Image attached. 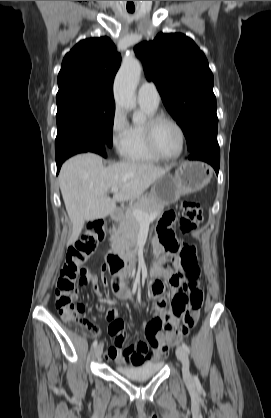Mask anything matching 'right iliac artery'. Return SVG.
Here are the masks:
<instances>
[{
  "label": "right iliac artery",
  "instance_id": "1",
  "mask_svg": "<svg viewBox=\"0 0 271 418\" xmlns=\"http://www.w3.org/2000/svg\"><path fill=\"white\" fill-rule=\"evenodd\" d=\"M97 344H98V342H97V340H95V341L93 342L92 346L95 348V347L97 346Z\"/></svg>",
  "mask_w": 271,
  "mask_h": 418
}]
</instances>
